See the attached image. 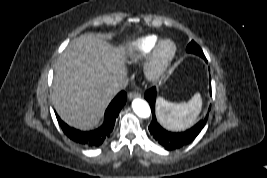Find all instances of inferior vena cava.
I'll use <instances>...</instances> for the list:
<instances>
[{
  "instance_id": "1",
  "label": "inferior vena cava",
  "mask_w": 267,
  "mask_h": 178,
  "mask_svg": "<svg viewBox=\"0 0 267 178\" xmlns=\"http://www.w3.org/2000/svg\"><path fill=\"white\" fill-rule=\"evenodd\" d=\"M128 85V78L127 77H121L118 80H115L113 83H111L108 87V91L111 94H116L119 91L125 89Z\"/></svg>"
}]
</instances>
